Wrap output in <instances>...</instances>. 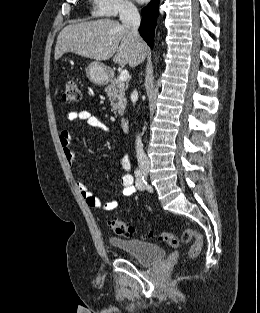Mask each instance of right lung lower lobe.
Instances as JSON below:
<instances>
[{
  "label": "right lung lower lobe",
  "instance_id": "right-lung-lower-lobe-1",
  "mask_svg": "<svg viewBox=\"0 0 260 313\" xmlns=\"http://www.w3.org/2000/svg\"><path fill=\"white\" fill-rule=\"evenodd\" d=\"M158 12L159 0H152L147 7L142 9V20L139 32L151 48L153 47Z\"/></svg>",
  "mask_w": 260,
  "mask_h": 313
}]
</instances>
